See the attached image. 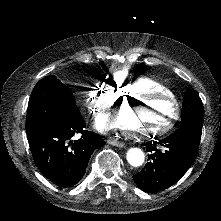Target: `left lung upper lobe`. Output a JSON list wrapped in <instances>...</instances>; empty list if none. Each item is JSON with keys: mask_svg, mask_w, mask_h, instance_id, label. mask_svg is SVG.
Instances as JSON below:
<instances>
[{"mask_svg": "<svg viewBox=\"0 0 221 221\" xmlns=\"http://www.w3.org/2000/svg\"><path fill=\"white\" fill-rule=\"evenodd\" d=\"M181 128L201 134L203 125V104L194 90L185 93L183 101Z\"/></svg>", "mask_w": 221, "mask_h": 221, "instance_id": "5c2ea615", "label": "left lung upper lobe"}]
</instances>
